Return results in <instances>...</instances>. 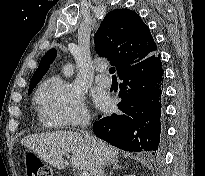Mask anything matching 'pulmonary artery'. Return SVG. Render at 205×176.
Here are the masks:
<instances>
[{"label":"pulmonary artery","mask_w":205,"mask_h":176,"mask_svg":"<svg viewBox=\"0 0 205 176\" xmlns=\"http://www.w3.org/2000/svg\"><path fill=\"white\" fill-rule=\"evenodd\" d=\"M98 70L100 73L95 77L96 83L103 87H109L112 82L108 76L103 74L104 67H100Z\"/></svg>","instance_id":"obj_1"}]
</instances>
